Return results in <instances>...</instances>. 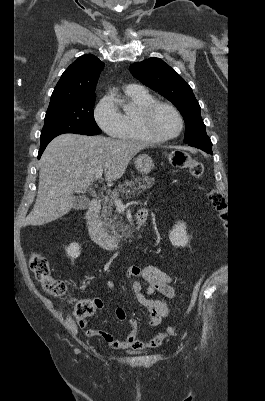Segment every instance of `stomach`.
<instances>
[{
	"label": "stomach",
	"mask_w": 265,
	"mask_h": 401,
	"mask_svg": "<svg viewBox=\"0 0 265 401\" xmlns=\"http://www.w3.org/2000/svg\"><path fill=\"white\" fill-rule=\"evenodd\" d=\"M134 164L141 174H147L154 166V162L149 154H138L134 160Z\"/></svg>",
	"instance_id": "1"
}]
</instances>
